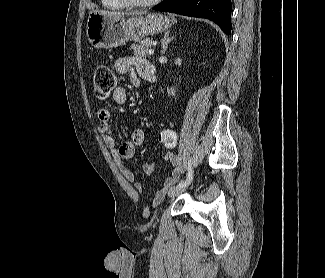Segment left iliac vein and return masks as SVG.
Segmentation results:
<instances>
[{
  "mask_svg": "<svg viewBox=\"0 0 325 278\" xmlns=\"http://www.w3.org/2000/svg\"><path fill=\"white\" fill-rule=\"evenodd\" d=\"M185 189L186 186L185 187L175 186L169 190L168 195L169 197H176L180 195Z\"/></svg>",
  "mask_w": 325,
  "mask_h": 278,
  "instance_id": "left-iliac-vein-1",
  "label": "left iliac vein"
}]
</instances>
